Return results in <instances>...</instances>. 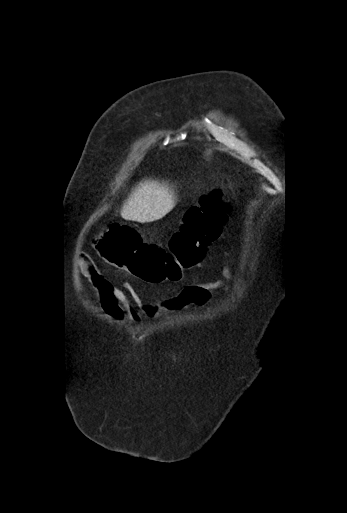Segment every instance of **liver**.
I'll return each instance as SVG.
<instances>
[{
    "mask_svg": "<svg viewBox=\"0 0 347 513\" xmlns=\"http://www.w3.org/2000/svg\"><path fill=\"white\" fill-rule=\"evenodd\" d=\"M174 206L173 192L165 184L147 181L135 189L121 210L125 220L135 217L153 218L166 214Z\"/></svg>",
    "mask_w": 347,
    "mask_h": 513,
    "instance_id": "obj_1",
    "label": "liver"
}]
</instances>
